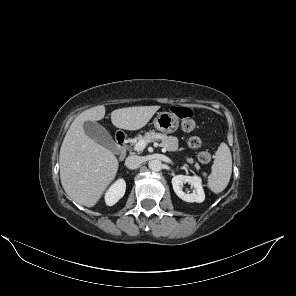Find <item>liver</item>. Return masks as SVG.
Segmentation results:
<instances>
[{
    "mask_svg": "<svg viewBox=\"0 0 296 296\" xmlns=\"http://www.w3.org/2000/svg\"><path fill=\"white\" fill-rule=\"evenodd\" d=\"M160 106H137L111 112L112 124L125 130L144 127ZM105 107L99 105L79 114L70 125L60 148V179L68 198L93 207L114 180L119 161L106 147L85 134L86 121H99Z\"/></svg>",
    "mask_w": 296,
    "mask_h": 296,
    "instance_id": "liver-1",
    "label": "liver"
}]
</instances>
